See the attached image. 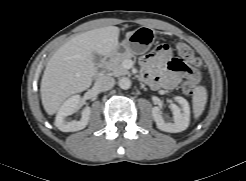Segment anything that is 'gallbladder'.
Instances as JSON below:
<instances>
[{"instance_id": "obj_1", "label": "gallbladder", "mask_w": 246, "mask_h": 181, "mask_svg": "<svg viewBox=\"0 0 246 181\" xmlns=\"http://www.w3.org/2000/svg\"><path fill=\"white\" fill-rule=\"evenodd\" d=\"M101 60H102V55L98 53H93V62L95 63V65L100 64Z\"/></svg>"}]
</instances>
